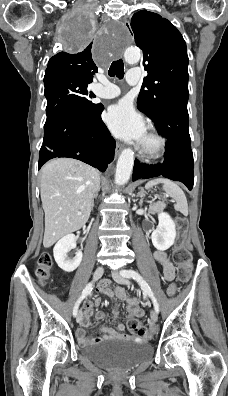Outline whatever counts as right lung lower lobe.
Here are the masks:
<instances>
[{"instance_id": "98d812e1", "label": "right lung lower lobe", "mask_w": 228, "mask_h": 396, "mask_svg": "<svg viewBox=\"0 0 228 396\" xmlns=\"http://www.w3.org/2000/svg\"><path fill=\"white\" fill-rule=\"evenodd\" d=\"M103 109L100 103L91 114L68 112L47 119L38 169L52 158L69 157L104 172L114 159L116 143L101 119Z\"/></svg>"}]
</instances>
